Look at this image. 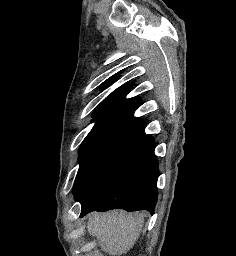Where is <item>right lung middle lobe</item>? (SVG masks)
<instances>
[{"instance_id":"dd1d6c3e","label":"right lung middle lobe","mask_w":236,"mask_h":256,"mask_svg":"<svg viewBox=\"0 0 236 256\" xmlns=\"http://www.w3.org/2000/svg\"><path fill=\"white\" fill-rule=\"evenodd\" d=\"M144 128L142 121L97 120L79 149L80 167L74 182V196L77 197L111 160L144 136Z\"/></svg>"}]
</instances>
